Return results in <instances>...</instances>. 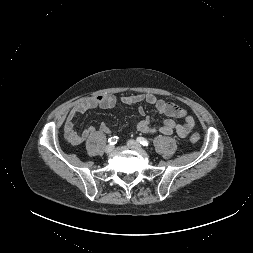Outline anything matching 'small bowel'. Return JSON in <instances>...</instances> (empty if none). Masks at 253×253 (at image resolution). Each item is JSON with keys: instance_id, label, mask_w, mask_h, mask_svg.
<instances>
[{"instance_id": "small-bowel-1", "label": "small bowel", "mask_w": 253, "mask_h": 253, "mask_svg": "<svg viewBox=\"0 0 253 253\" xmlns=\"http://www.w3.org/2000/svg\"><path fill=\"white\" fill-rule=\"evenodd\" d=\"M120 101L126 105H139L138 112L144 118L137 124V130L143 134H177L179 137L184 138L192 132L195 126L194 118L185 109L172 102L160 99L153 94L123 95L120 97ZM116 102L117 98L111 94L86 97L77 101L69 111L64 124L65 139L71 145L82 144L96 129L94 126H88L83 131L78 132L75 129L74 122L76 116L96 107L103 109L113 108ZM143 102L153 105L160 113L167 117L161 126H152L150 124L145 108L140 105ZM174 119H183L184 123H177ZM100 130L104 133H110V128L106 123H101Z\"/></svg>"}]
</instances>
